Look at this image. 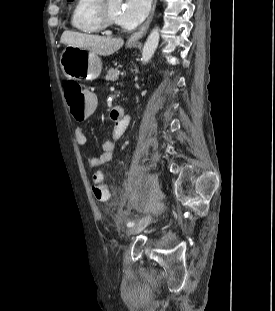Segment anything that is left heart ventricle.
Instances as JSON below:
<instances>
[{
    "label": "left heart ventricle",
    "instance_id": "obj_1",
    "mask_svg": "<svg viewBox=\"0 0 275 311\" xmlns=\"http://www.w3.org/2000/svg\"><path fill=\"white\" fill-rule=\"evenodd\" d=\"M122 7V3L120 0H109L108 1V10L113 19L117 21V17L119 14V11Z\"/></svg>",
    "mask_w": 275,
    "mask_h": 311
}]
</instances>
